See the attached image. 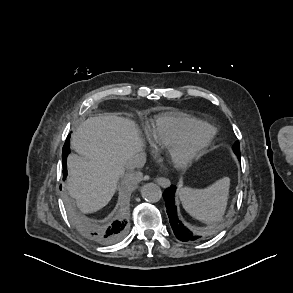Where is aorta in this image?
I'll return each mask as SVG.
<instances>
[{"label":"aorta","mask_w":293,"mask_h":293,"mask_svg":"<svg viewBox=\"0 0 293 293\" xmlns=\"http://www.w3.org/2000/svg\"><path fill=\"white\" fill-rule=\"evenodd\" d=\"M141 196L144 200L154 203L161 199L162 191L155 183H146L141 188Z\"/></svg>","instance_id":"1"}]
</instances>
